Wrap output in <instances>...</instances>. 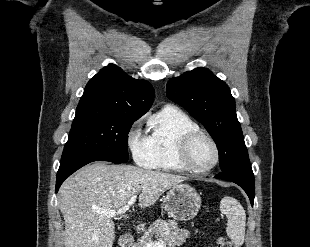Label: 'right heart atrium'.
<instances>
[{
	"mask_svg": "<svg viewBox=\"0 0 310 247\" xmlns=\"http://www.w3.org/2000/svg\"><path fill=\"white\" fill-rule=\"evenodd\" d=\"M139 122L140 121L135 122L129 129L127 134V145L134 160L138 164L149 168L152 164V159L148 148L147 138L139 131Z\"/></svg>",
	"mask_w": 310,
	"mask_h": 247,
	"instance_id": "1",
	"label": "right heart atrium"
}]
</instances>
